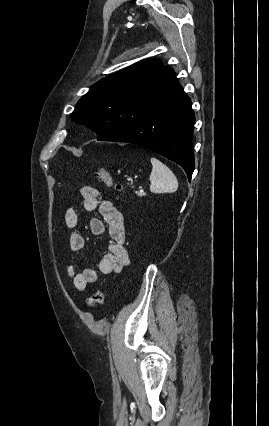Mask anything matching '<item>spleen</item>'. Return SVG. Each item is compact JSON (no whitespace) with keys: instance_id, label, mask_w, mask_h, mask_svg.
I'll use <instances>...</instances> for the list:
<instances>
[{"instance_id":"spleen-1","label":"spleen","mask_w":269,"mask_h":426,"mask_svg":"<svg viewBox=\"0 0 269 426\" xmlns=\"http://www.w3.org/2000/svg\"><path fill=\"white\" fill-rule=\"evenodd\" d=\"M150 191L152 193H173L178 189V181L173 172L158 159L151 158Z\"/></svg>"}]
</instances>
